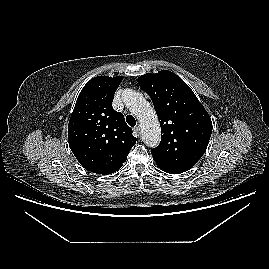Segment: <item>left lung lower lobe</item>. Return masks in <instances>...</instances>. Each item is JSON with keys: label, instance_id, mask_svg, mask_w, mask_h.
<instances>
[{"label": "left lung lower lobe", "instance_id": "1", "mask_svg": "<svg viewBox=\"0 0 269 269\" xmlns=\"http://www.w3.org/2000/svg\"><path fill=\"white\" fill-rule=\"evenodd\" d=\"M157 166L164 172L166 173H170V174H180L183 172L188 171V169H183V168H175V167H170V166H166L158 161H155Z\"/></svg>", "mask_w": 269, "mask_h": 269}]
</instances>
